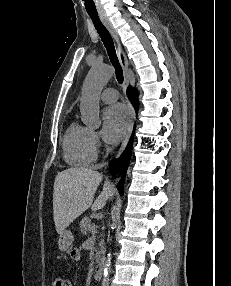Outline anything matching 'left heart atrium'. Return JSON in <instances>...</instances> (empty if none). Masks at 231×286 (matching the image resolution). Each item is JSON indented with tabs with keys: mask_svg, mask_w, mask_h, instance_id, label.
Segmentation results:
<instances>
[{
	"mask_svg": "<svg viewBox=\"0 0 231 286\" xmlns=\"http://www.w3.org/2000/svg\"><path fill=\"white\" fill-rule=\"evenodd\" d=\"M128 112L121 104H114L103 112V135L110 143L124 137L128 128Z\"/></svg>",
	"mask_w": 231,
	"mask_h": 286,
	"instance_id": "39dd6f15",
	"label": "left heart atrium"
}]
</instances>
